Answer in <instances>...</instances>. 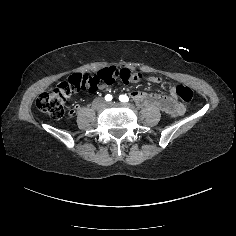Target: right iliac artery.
Listing matches in <instances>:
<instances>
[{
	"label": "right iliac artery",
	"mask_w": 236,
	"mask_h": 236,
	"mask_svg": "<svg viewBox=\"0 0 236 236\" xmlns=\"http://www.w3.org/2000/svg\"><path fill=\"white\" fill-rule=\"evenodd\" d=\"M113 99V97H112V95H110V94H107L106 96H105V100L106 101H111Z\"/></svg>",
	"instance_id": "1"
}]
</instances>
